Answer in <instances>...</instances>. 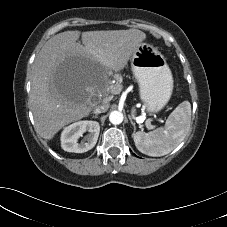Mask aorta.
<instances>
[{
    "mask_svg": "<svg viewBox=\"0 0 227 227\" xmlns=\"http://www.w3.org/2000/svg\"><path fill=\"white\" fill-rule=\"evenodd\" d=\"M123 114L120 111H112L109 115V120L114 125H119L123 121Z\"/></svg>",
    "mask_w": 227,
    "mask_h": 227,
    "instance_id": "1",
    "label": "aorta"
}]
</instances>
